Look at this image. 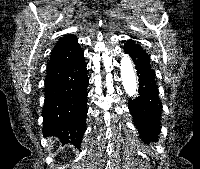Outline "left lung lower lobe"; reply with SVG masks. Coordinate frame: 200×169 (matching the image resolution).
<instances>
[{"label":"left lung lower lobe","mask_w":200,"mask_h":169,"mask_svg":"<svg viewBox=\"0 0 200 169\" xmlns=\"http://www.w3.org/2000/svg\"><path fill=\"white\" fill-rule=\"evenodd\" d=\"M124 51L132 58L139 77V95L129 101V111L144 142L160 133L161 102L155 83V72L150 66V57L143 50L125 43Z\"/></svg>","instance_id":"1"}]
</instances>
